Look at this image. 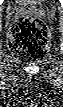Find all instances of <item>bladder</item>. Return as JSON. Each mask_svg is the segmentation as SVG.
I'll return each mask as SVG.
<instances>
[{
    "label": "bladder",
    "instance_id": "1",
    "mask_svg": "<svg viewBox=\"0 0 63 107\" xmlns=\"http://www.w3.org/2000/svg\"><path fill=\"white\" fill-rule=\"evenodd\" d=\"M16 3L18 4H39L41 3V0L37 1H31V0H15Z\"/></svg>",
    "mask_w": 63,
    "mask_h": 107
}]
</instances>
